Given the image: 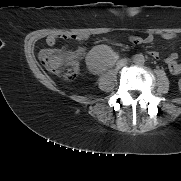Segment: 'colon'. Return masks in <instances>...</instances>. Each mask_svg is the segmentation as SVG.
<instances>
[{"label":"colon","mask_w":181,"mask_h":181,"mask_svg":"<svg viewBox=\"0 0 181 181\" xmlns=\"http://www.w3.org/2000/svg\"><path fill=\"white\" fill-rule=\"evenodd\" d=\"M39 58L48 71L65 81H72L77 76L78 65L75 55L47 49L40 52ZM178 86L181 91V78Z\"/></svg>","instance_id":"obj_1"}]
</instances>
